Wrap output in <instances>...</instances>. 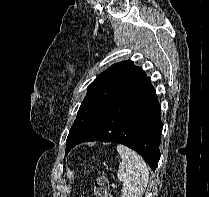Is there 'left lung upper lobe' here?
Listing matches in <instances>:
<instances>
[{
  "mask_svg": "<svg viewBox=\"0 0 209 197\" xmlns=\"http://www.w3.org/2000/svg\"><path fill=\"white\" fill-rule=\"evenodd\" d=\"M145 77L146 73L131 60L115 63L98 75L88 86L86 97L69 131L66 154L111 103Z\"/></svg>",
  "mask_w": 209,
  "mask_h": 197,
  "instance_id": "1",
  "label": "left lung upper lobe"
}]
</instances>
